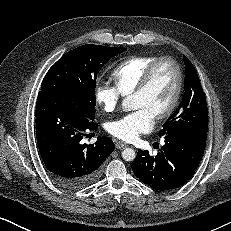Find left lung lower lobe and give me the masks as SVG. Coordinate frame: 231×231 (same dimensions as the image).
Here are the masks:
<instances>
[{"label":"left lung lower lobe","mask_w":231,"mask_h":231,"mask_svg":"<svg viewBox=\"0 0 231 231\" xmlns=\"http://www.w3.org/2000/svg\"><path fill=\"white\" fill-rule=\"evenodd\" d=\"M156 156L139 151L131 167L137 178L153 189L172 190L186 183L196 171L205 149L206 137L167 134Z\"/></svg>","instance_id":"0a47b994"}]
</instances>
